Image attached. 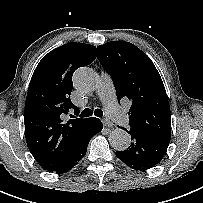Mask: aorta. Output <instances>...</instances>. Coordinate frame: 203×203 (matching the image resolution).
I'll use <instances>...</instances> for the list:
<instances>
[{"mask_svg": "<svg viewBox=\"0 0 203 203\" xmlns=\"http://www.w3.org/2000/svg\"><path fill=\"white\" fill-rule=\"evenodd\" d=\"M75 88L81 93H91L98 85L97 74L89 68L81 67L74 73ZM109 143L115 150L124 151L131 143L130 135L123 129H114L109 135Z\"/></svg>", "mask_w": 203, "mask_h": 203, "instance_id": "aorta-1", "label": "aorta"}]
</instances>
